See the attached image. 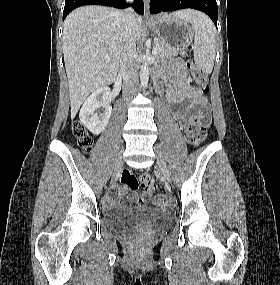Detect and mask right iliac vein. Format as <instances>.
Returning <instances> with one entry per match:
<instances>
[{
    "mask_svg": "<svg viewBox=\"0 0 280 285\" xmlns=\"http://www.w3.org/2000/svg\"><path fill=\"white\" fill-rule=\"evenodd\" d=\"M121 168H122V160H121V157H119L116 162L114 171L118 172L119 170H121Z\"/></svg>",
    "mask_w": 280,
    "mask_h": 285,
    "instance_id": "1",
    "label": "right iliac vein"
}]
</instances>
